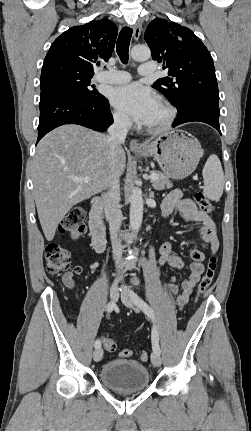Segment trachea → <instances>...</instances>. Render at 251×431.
I'll use <instances>...</instances> for the list:
<instances>
[{
    "mask_svg": "<svg viewBox=\"0 0 251 431\" xmlns=\"http://www.w3.org/2000/svg\"><path fill=\"white\" fill-rule=\"evenodd\" d=\"M132 36V29L130 27H123L119 33L116 44V51L122 63L126 64L129 59V45Z\"/></svg>",
    "mask_w": 251,
    "mask_h": 431,
    "instance_id": "obj_1",
    "label": "trachea"
}]
</instances>
